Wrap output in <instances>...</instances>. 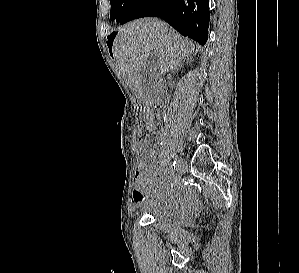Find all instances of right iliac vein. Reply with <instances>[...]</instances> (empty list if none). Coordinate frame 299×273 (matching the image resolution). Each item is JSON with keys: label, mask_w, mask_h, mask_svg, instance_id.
I'll return each mask as SVG.
<instances>
[{"label": "right iliac vein", "mask_w": 299, "mask_h": 273, "mask_svg": "<svg viewBox=\"0 0 299 273\" xmlns=\"http://www.w3.org/2000/svg\"><path fill=\"white\" fill-rule=\"evenodd\" d=\"M183 167H184V163H183L182 158L177 156L176 157V171L178 174L182 173Z\"/></svg>", "instance_id": "1"}]
</instances>
